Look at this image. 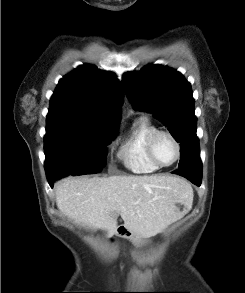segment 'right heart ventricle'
I'll list each match as a JSON object with an SVG mask.
<instances>
[{
  "label": "right heart ventricle",
  "instance_id": "e07e8e85",
  "mask_svg": "<svg viewBox=\"0 0 245 293\" xmlns=\"http://www.w3.org/2000/svg\"><path fill=\"white\" fill-rule=\"evenodd\" d=\"M157 130L146 116H140L134 121L120 152V158L130 171L147 174L159 169L147 153L149 138Z\"/></svg>",
  "mask_w": 245,
  "mask_h": 293
}]
</instances>
